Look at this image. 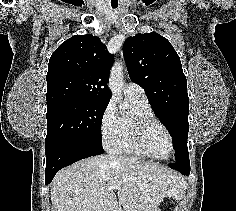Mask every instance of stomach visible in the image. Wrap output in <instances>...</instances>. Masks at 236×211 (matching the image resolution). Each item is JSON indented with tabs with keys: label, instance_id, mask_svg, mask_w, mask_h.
<instances>
[{
	"label": "stomach",
	"instance_id": "0dacf381",
	"mask_svg": "<svg viewBox=\"0 0 236 211\" xmlns=\"http://www.w3.org/2000/svg\"><path fill=\"white\" fill-rule=\"evenodd\" d=\"M154 211H160V210H158V208H157V209H155Z\"/></svg>",
	"mask_w": 236,
	"mask_h": 211
}]
</instances>
